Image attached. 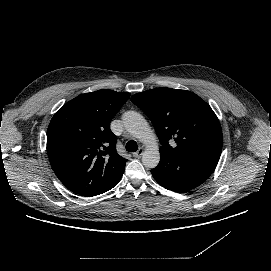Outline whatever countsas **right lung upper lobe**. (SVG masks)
<instances>
[{
	"instance_id": "right-lung-upper-lobe-1",
	"label": "right lung upper lobe",
	"mask_w": 271,
	"mask_h": 271,
	"mask_svg": "<svg viewBox=\"0 0 271 271\" xmlns=\"http://www.w3.org/2000/svg\"><path fill=\"white\" fill-rule=\"evenodd\" d=\"M130 93L98 90L81 94L60 108L47 130L53 171L72 192L95 196L121 179L127 159L116 151L110 122Z\"/></svg>"
}]
</instances>
